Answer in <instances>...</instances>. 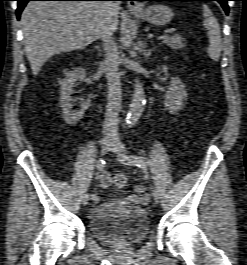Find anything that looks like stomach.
Listing matches in <instances>:
<instances>
[{
	"label": "stomach",
	"mask_w": 247,
	"mask_h": 265,
	"mask_svg": "<svg viewBox=\"0 0 247 265\" xmlns=\"http://www.w3.org/2000/svg\"><path fill=\"white\" fill-rule=\"evenodd\" d=\"M133 13L141 19L157 26L169 23L174 15L168 6L162 4H154L144 10L134 11Z\"/></svg>",
	"instance_id": "stomach-1"
}]
</instances>
